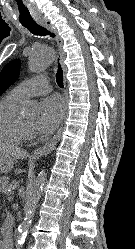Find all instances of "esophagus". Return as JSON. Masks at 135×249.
<instances>
[{
	"instance_id": "34e87169",
	"label": "esophagus",
	"mask_w": 135,
	"mask_h": 249,
	"mask_svg": "<svg viewBox=\"0 0 135 249\" xmlns=\"http://www.w3.org/2000/svg\"><path fill=\"white\" fill-rule=\"evenodd\" d=\"M38 23L40 25H42L43 27H45L50 32H52L56 37L57 47H58V51H59V61H60V64H61L63 72H64V86L66 87L67 80H66V67L64 64L65 53L63 51V40L59 36L56 28L52 25V23L49 20L42 19V20H39ZM67 111H68V109H67V102H66L64 118L67 115ZM62 129H63V123L61 124L57 133L48 142H46L42 147L36 148L35 150L32 151L31 157L32 158H39L41 156L48 155L49 153H51L58 142V139L60 137Z\"/></svg>"
}]
</instances>
